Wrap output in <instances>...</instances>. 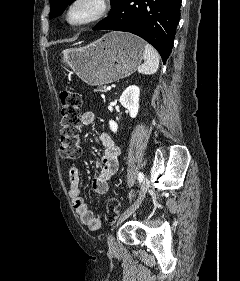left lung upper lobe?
<instances>
[{
  "label": "left lung upper lobe",
  "instance_id": "5c2ea615",
  "mask_svg": "<svg viewBox=\"0 0 240 281\" xmlns=\"http://www.w3.org/2000/svg\"><path fill=\"white\" fill-rule=\"evenodd\" d=\"M73 1L74 0H50L51 11H50L49 18L52 19L55 16L60 15L64 11V9L67 7V5ZM115 1L116 0H111V5Z\"/></svg>",
  "mask_w": 240,
  "mask_h": 281
}]
</instances>
